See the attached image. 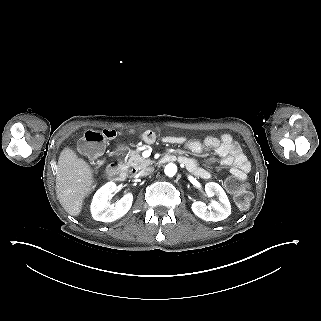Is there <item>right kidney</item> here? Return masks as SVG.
<instances>
[{"label":"right kidney","mask_w":321,"mask_h":321,"mask_svg":"<svg viewBox=\"0 0 321 321\" xmlns=\"http://www.w3.org/2000/svg\"><path fill=\"white\" fill-rule=\"evenodd\" d=\"M117 192V186L114 182H107L98 189L93 197L90 209L93 219L102 222H113L123 217L131 208L133 195L127 193L115 204L108 202L112 193Z\"/></svg>","instance_id":"obj_1"}]
</instances>
